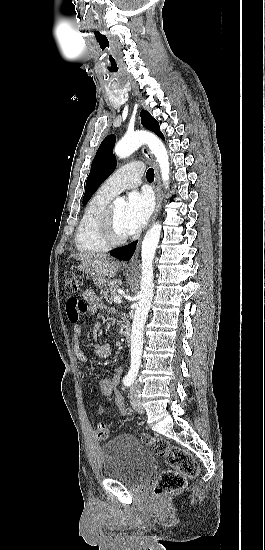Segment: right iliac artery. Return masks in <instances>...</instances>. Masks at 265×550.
<instances>
[{"label":"right iliac artery","instance_id":"obj_1","mask_svg":"<svg viewBox=\"0 0 265 550\" xmlns=\"http://www.w3.org/2000/svg\"><path fill=\"white\" fill-rule=\"evenodd\" d=\"M131 382H132V381H131V379H129V378H125V379L123 380V384H124L125 386H130V385H131Z\"/></svg>","mask_w":265,"mask_h":550}]
</instances>
